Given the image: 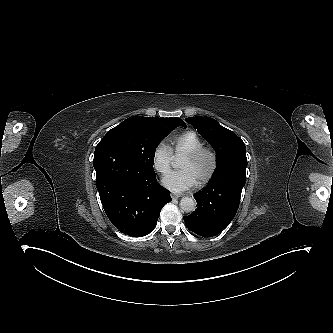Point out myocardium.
<instances>
[{"instance_id": "myocardium-1", "label": "myocardium", "mask_w": 333, "mask_h": 333, "mask_svg": "<svg viewBox=\"0 0 333 333\" xmlns=\"http://www.w3.org/2000/svg\"><path fill=\"white\" fill-rule=\"evenodd\" d=\"M202 159H206L207 165L201 174L195 176V179L199 184L207 182L215 172L216 156L214 152L208 148H199L189 153L181 160V165L183 166L185 163L195 164Z\"/></svg>"}]
</instances>
